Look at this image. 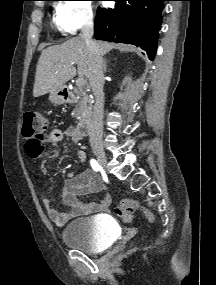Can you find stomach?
I'll return each instance as SVG.
<instances>
[{
    "label": "stomach",
    "instance_id": "stomach-1",
    "mask_svg": "<svg viewBox=\"0 0 216 285\" xmlns=\"http://www.w3.org/2000/svg\"><path fill=\"white\" fill-rule=\"evenodd\" d=\"M49 100L54 105H60L67 101L66 90L64 88H60L50 92Z\"/></svg>",
    "mask_w": 216,
    "mask_h": 285
}]
</instances>
